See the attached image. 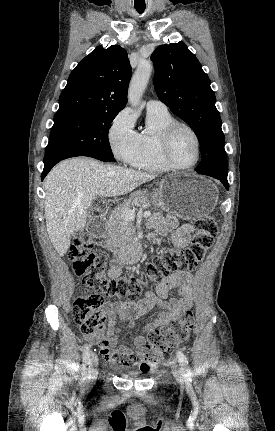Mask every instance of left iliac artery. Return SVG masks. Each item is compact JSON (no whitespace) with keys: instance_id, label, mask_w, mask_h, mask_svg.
I'll use <instances>...</instances> for the list:
<instances>
[{"instance_id":"44dca946","label":"left iliac artery","mask_w":275,"mask_h":431,"mask_svg":"<svg viewBox=\"0 0 275 431\" xmlns=\"http://www.w3.org/2000/svg\"><path fill=\"white\" fill-rule=\"evenodd\" d=\"M179 365L181 367V371L186 378L191 377V370L188 365V359L182 351H177L176 353Z\"/></svg>"}]
</instances>
